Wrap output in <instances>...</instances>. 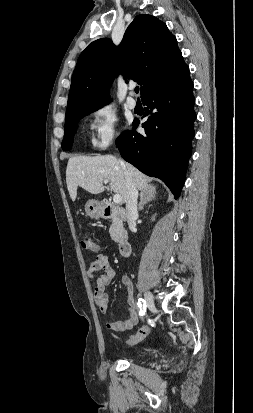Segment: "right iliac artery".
Listing matches in <instances>:
<instances>
[{
  "label": "right iliac artery",
  "instance_id": "82829eb1",
  "mask_svg": "<svg viewBox=\"0 0 253 413\" xmlns=\"http://www.w3.org/2000/svg\"><path fill=\"white\" fill-rule=\"evenodd\" d=\"M138 307L140 308L139 314L143 316L146 312V301L142 298L138 299Z\"/></svg>",
  "mask_w": 253,
  "mask_h": 413
}]
</instances>
